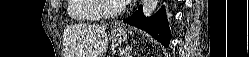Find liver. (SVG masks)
Returning <instances> with one entry per match:
<instances>
[{"instance_id":"liver-1","label":"liver","mask_w":249,"mask_h":57,"mask_svg":"<svg viewBox=\"0 0 249 57\" xmlns=\"http://www.w3.org/2000/svg\"><path fill=\"white\" fill-rule=\"evenodd\" d=\"M106 25H73L65 29L72 57H102L108 46Z\"/></svg>"}]
</instances>
